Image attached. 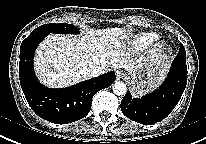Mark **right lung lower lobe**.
Segmentation results:
<instances>
[{
    "instance_id": "obj_1",
    "label": "right lung lower lobe",
    "mask_w": 206,
    "mask_h": 144,
    "mask_svg": "<svg viewBox=\"0 0 206 144\" xmlns=\"http://www.w3.org/2000/svg\"><path fill=\"white\" fill-rule=\"evenodd\" d=\"M47 33H31L21 44L19 77L26 100L42 119L55 124H67L87 116L93 96L115 81V73L108 72L63 89L42 85L33 70V56Z\"/></svg>"
}]
</instances>
